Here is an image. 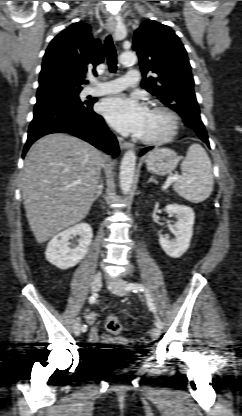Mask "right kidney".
Segmentation results:
<instances>
[{
	"label": "right kidney",
	"instance_id": "1",
	"mask_svg": "<svg viewBox=\"0 0 242 416\" xmlns=\"http://www.w3.org/2000/svg\"><path fill=\"white\" fill-rule=\"evenodd\" d=\"M79 236L78 245L71 248L69 240ZM93 237L92 228L80 223L57 234L48 243L45 256L48 262L60 269H68L79 263L88 251Z\"/></svg>",
	"mask_w": 242,
	"mask_h": 416
}]
</instances>
